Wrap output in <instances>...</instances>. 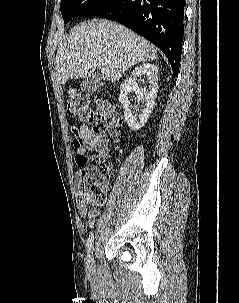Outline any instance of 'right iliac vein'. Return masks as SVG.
<instances>
[{
    "label": "right iliac vein",
    "mask_w": 239,
    "mask_h": 303,
    "mask_svg": "<svg viewBox=\"0 0 239 303\" xmlns=\"http://www.w3.org/2000/svg\"><path fill=\"white\" fill-rule=\"evenodd\" d=\"M85 267L88 270H92L94 267V259L92 253H90L85 260Z\"/></svg>",
    "instance_id": "63e3f726"
}]
</instances>
